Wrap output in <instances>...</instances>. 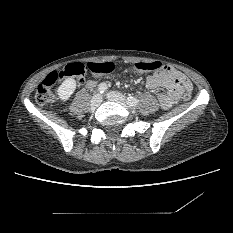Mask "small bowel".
Returning <instances> with one entry per match:
<instances>
[{"mask_svg":"<svg viewBox=\"0 0 233 233\" xmlns=\"http://www.w3.org/2000/svg\"><path fill=\"white\" fill-rule=\"evenodd\" d=\"M68 79L69 76H63ZM78 83H82L78 79ZM147 89L154 91L163 88L158 95V101L162 109H170L175 104L184 91H192L190 80L181 72L173 67L164 65L160 70L149 74L145 80Z\"/></svg>","mask_w":233,"mask_h":233,"instance_id":"obj_1","label":"small bowel"}]
</instances>
